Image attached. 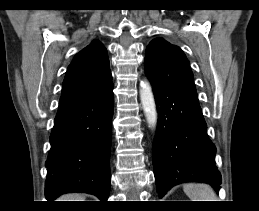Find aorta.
<instances>
[{
  "mask_svg": "<svg viewBox=\"0 0 259 211\" xmlns=\"http://www.w3.org/2000/svg\"><path fill=\"white\" fill-rule=\"evenodd\" d=\"M140 100L149 127L156 128L158 114L151 84L145 80L140 85Z\"/></svg>",
  "mask_w": 259,
  "mask_h": 211,
  "instance_id": "obj_1",
  "label": "aorta"
}]
</instances>
